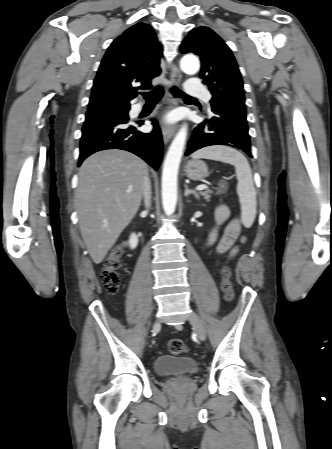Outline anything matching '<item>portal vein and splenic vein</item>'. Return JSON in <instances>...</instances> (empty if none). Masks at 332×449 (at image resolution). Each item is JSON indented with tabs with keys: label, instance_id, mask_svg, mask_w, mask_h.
<instances>
[{
	"label": "portal vein and splenic vein",
	"instance_id": "portal-vein-and-splenic-vein-1",
	"mask_svg": "<svg viewBox=\"0 0 332 449\" xmlns=\"http://www.w3.org/2000/svg\"><path fill=\"white\" fill-rule=\"evenodd\" d=\"M206 188H207V186H206V185H204V184H202V185H199V186H197V187H196V189H197V190H199V191H200V190H204V189H206ZM127 192H128V193H130L131 191H130V190H128Z\"/></svg>",
	"mask_w": 332,
	"mask_h": 449
}]
</instances>
